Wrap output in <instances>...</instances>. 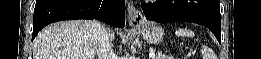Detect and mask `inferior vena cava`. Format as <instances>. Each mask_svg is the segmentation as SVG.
<instances>
[{"instance_id": "inferior-vena-cava-1", "label": "inferior vena cava", "mask_w": 261, "mask_h": 59, "mask_svg": "<svg viewBox=\"0 0 261 59\" xmlns=\"http://www.w3.org/2000/svg\"><path fill=\"white\" fill-rule=\"evenodd\" d=\"M93 37L96 43L98 59H117L111 48L109 32L100 22H93Z\"/></svg>"}]
</instances>
